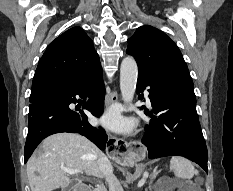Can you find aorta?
<instances>
[{"label": "aorta", "instance_id": "obj_1", "mask_svg": "<svg viewBox=\"0 0 233 191\" xmlns=\"http://www.w3.org/2000/svg\"><path fill=\"white\" fill-rule=\"evenodd\" d=\"M138 77V67L132 57H125L120 67V90L125 103L133 100Z\"/></svg>", "mask_w": 233, "mask_h": 191}]
</instances>
